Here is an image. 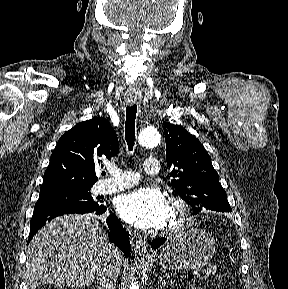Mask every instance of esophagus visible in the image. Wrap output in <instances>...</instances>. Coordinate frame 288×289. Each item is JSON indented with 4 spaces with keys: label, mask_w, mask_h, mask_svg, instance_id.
I'll use <instances>...</instances> for the list:
<instances>
[{
    "label": "esophagus",
    "mask_w": 288,
    "mask_h": 289,
    "mask_svg": "<svg viewBox=\"0 0 288 289\" xmlns=\"http://www.w3.org/2000/svg\"><path fill=\"white\" fill-rule=\"evenodd\" d=\"M128 104L133 105L135 104V102L129 101ZM133 241H134V250L137 255L143 256V257L144 256L150 257V255L148 254L147 245L142 239L134 238Z\"/></svg>",
    "instance_id": "esophagus-1"
}]
</instances>
